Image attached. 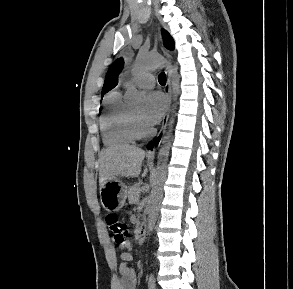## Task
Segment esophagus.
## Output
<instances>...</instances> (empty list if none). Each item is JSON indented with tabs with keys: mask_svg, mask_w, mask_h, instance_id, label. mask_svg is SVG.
<instances>
[{
	"mask_svg": "<svg viewBox=\"0 0 293 289\" xmlns=\"http://www.w3.org/2000/svg\"><path fill=\"white\" fill-rule=\"evenodd\" d=\"M163 53L166 56V58L168 60H170V58H171L170 53L164 47H163ZM166 75H167V82H166V85H165V88H164V92H165L166 97H167V110H166V114H165V116L163 118V123H162L160 131L158 132L157 136L146 147L147 158L149 160L154 159L156 148L159 147L160 144L162 143V141L164 139L165 131H166V128H167V124H168L169 112H170V107H171V102H172L171 78H170V68L169 67H167Z\"/></svg>",
	"mask_w": 293,
	"mask_h": 289,
	"instance_id": "obj_1",
	"label": "esophagus"
}]
</instances>
